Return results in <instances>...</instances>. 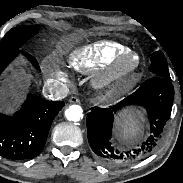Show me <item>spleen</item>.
I'll return each instance as SVG.
<instances>
[{"mask_svg": "<svg viewBox=\"0 0 183 183\" xmlns=\"http://www.w3.org/2000/svg\"><path fill=\"white\" fill-rule=\"evenodd\" d=\"M118 137L122 140H132L142 131L141 117L134 112L125 111L116 119Z\"/></svg>", "mask_w": 183, "mask_h": 183, "instance_id": "obj_1", "label": "spleen"}]
</instances>
